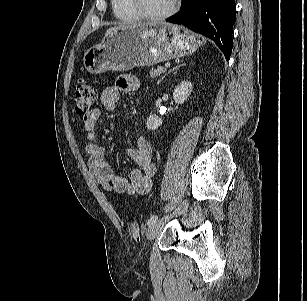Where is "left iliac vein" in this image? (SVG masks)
<instances>
[{"mask_svg": "<svg viewBox=\"0 0 307 301\" xmlns=\"http://www.w3.org/2000/svg\"><path fill=\"white\" fill-rule=\"evenodd\" d=\"M187 201H183L180 206L170 215V216H166L165 218L156 221L155 223H153L149 229L147 230L146 233V238L149 242H151L152 240H154V238L157 236V234L162 230V228L164 227V225L166 224V222L169 221L170 218H172L173 216H176L178 214H180L183 210H185L187 208Z\"/></svg>", "mask_w": 307, "mask_h": 301, "instance_id": "1", "label": "left iliac vein"}]
</instances>
